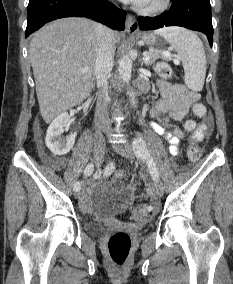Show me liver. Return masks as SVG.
Wrapping results in <instances>:
<instances>
[{
	"label": "liver",
	"instance_id": "1",
	"mask_svg": "<svg viewBox=\"0 0 233 284\" xmlns=\"http://www.w3.org/2000/svg\"><path fill=\"white\" fill-rule=\"evenodd\" d=\"M96 26L92 20L69 17L48 23L33 35L29 58L46 123L90 95L95 83ZM113 34L119 42L120 33Z\"/></svg>",
	"mask_w": 233,
	"mask_h": 284
}]
</instances>
